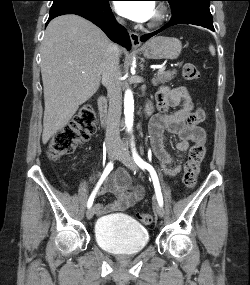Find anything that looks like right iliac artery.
<instances>
[{
    "instance_id": "obj_1",
    "label": "right iliac artery",
    "mask_w": 250,
    "mask_h": 285,
    "mask_svg": "<svg viewBox=\"0 0 250 285\" xmlns=\"http://www.w3.org/2000/svg\"><path fill=\"white\" fill-rule=\"evenodd\" d=\"M113 169V163L110 162L108 163V165L106 166L105 170L103 171L101 178L99 180V182L97 183L95 189L93 190V192L91 193L88 202H87V207L90 208L93 204L95 195L99 189V187L101 186L102 182L105 180V178L108 176V174L111 172V170Z\"/></svg>"
}]
</instances>
